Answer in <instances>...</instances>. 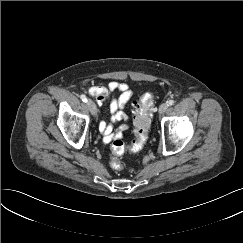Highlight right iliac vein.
<instances>
[{"mask_svg": "<svg viewBox=\"0 0 243 243\" xmlns=\"http://www.w3.org/2000/svg\"><path fill=\"white\" fill-rule=\"evenodd\" d=\"M88 108L93 116H97V107L92 100H88L87 102Z\"/></svg>", "mask_w": 243, "mask_h": 243, "instance_id": "63e3f726", "label": "right iliac vein"}]
</instances>
